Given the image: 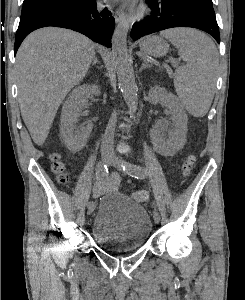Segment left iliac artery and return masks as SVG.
<instances>
[{"mask_svg": "<svg viewBox=\"0 0 245 300\" xmlns=\"http://www.w3.org/2000/svg\"><path fill=\"white\" fill-rule=\"evenodd\" d=\"M124 171L137 179H143L147 175V170L139 165L126 163L122 165Z\"/></svg>", "mask_w": 245, "mask_h": 300, "instance_id": "left-iliac-artery-1", "label": "left iliac artery"}]
</instances>
